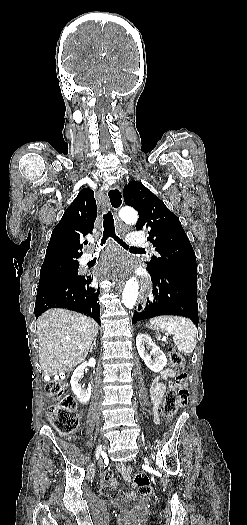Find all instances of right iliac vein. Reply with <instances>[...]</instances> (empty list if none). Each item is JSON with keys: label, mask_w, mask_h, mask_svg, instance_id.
<instances>
[{"label": "right iliac vein", "mask_w": 247, "mask_h": 525, "mask_svg": "<svg viewBox=\"0 0 247 525\" xmlns=\"http://www.w3.org/2000/svg\"><path fill=\"white\" fill-rule=\"evenodd\" d=\"M101 452H102V446L100 445L96 449L95 456L98 458L100 456Z\"/></svg>", "instance_id": "63e3f726"}]
</instances>
